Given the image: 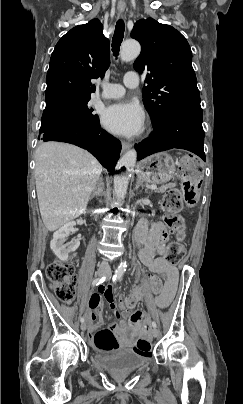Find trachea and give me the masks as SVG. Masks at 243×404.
Returning a JSON list of instances; mask_svg holds the SVG:
<instances>
[{
  "label": "trachea",
  "mask_w": 243,
  "mask_h": 404,
  "mask_svg": "<svg viewBox=\"0 0 243 404\" xmlns=\"http://www.w3.org/2000/svg\"><path fill=\"white\" fill-rule=\"evenodd\" d=\"M124 31H125V24L122 18H120L116 23L115 32L112 39V52L114 57L116 58L119 55L120 46L124 37Z\"/></svg>",
  "instance_id": "trachea-1"
}]
</instances>
